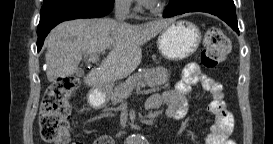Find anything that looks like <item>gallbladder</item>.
<instances>
[{
    "label": "gallbladder",
    "instance_id": "1",
    "mask_svg": "<svg viewBox=\"0 0 273 144\" xmlns=\"http://www.w3.org/2000/svg\"><path fill=\"white\" fill-rule=\"evenodd\" d=\"M84 69L83 68H77L75 71V76H83Z\"/></svg>",
    "mask_w": 273,
    "mask_h": 144
}]
</instances>
